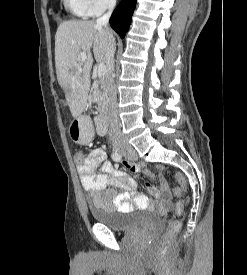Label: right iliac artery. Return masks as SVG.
<instances>
[{"mask_svg": "<svg viewBox=\"0 0 247 275\" xmlns=\"http://www.w3.org/2000/svg\"><path fill=\"white\" fill-rule=\"evenodd\" d=\"M122 156L118 152H113L112 153V159L116 162H119L121 160Z\"/></svg>", "mask_w": 247, "mask_h": 275, "instance_id": "82829eb1", "label": "right iliac artery"}]
</instances>
